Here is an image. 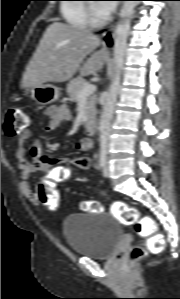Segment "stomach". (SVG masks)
Listing matches in <instances>:
<instances>
[{
  "mask_svg": "<svg viewBox=\"0 0 180 299\" xmlns=\"http://www.w3.org/2000/svg\"><path fill=\"white\" fill-rule=\"evenodd\" d=\"M23 95H30L37 104L44 106L55 102L60 96V91L54 85L42 83L23 88Z\"/></svg>",
  "mask_w": 180,
  "mask_h": 299,
  "instance_id": "1",
  "label": "stomach"
}]
</instances>
